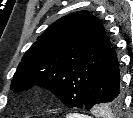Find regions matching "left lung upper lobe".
Instances as JSON below:
<instances>
[{"label": "left lung upper lobe", "instance_id": "left-lung-upper-lobe-1", "mask_svg": "<svg viewBox=\"0 0 133 118\" xmlns=\"http://www.w3.org/2000/svg\"><path fill=\"white\" fill-rule=\"evenodd\" d=\"M112 49L100 20L87 11L64 16L50 25L28 49L14 74L10 89L35 84L52 91L69 108L84 107L97 74ZM121 101L104 109L117 112Z\"/></svg>", "mask_w": 133, "mask_h": 118}]
</instances>
